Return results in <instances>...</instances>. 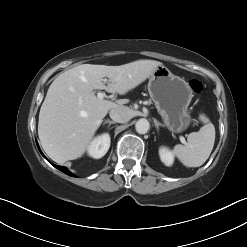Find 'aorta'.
I'll return each mask as SVG.
<instances>
[{"label": "aorta", "instance_id": "obj_1", "mask_svg": "<svg viewBox=\"0 0 247 247\" xmlns=\"http://www.w3.org/2000/svg\"><path fill=\"white\" fill-rule=\"evenodd\" d=\"M150 124L147 119H139L135 124V129L139 134H145L148 132Z\"/></svg>", "mask_w": 247, "mask_h": 247}]
</instances>
